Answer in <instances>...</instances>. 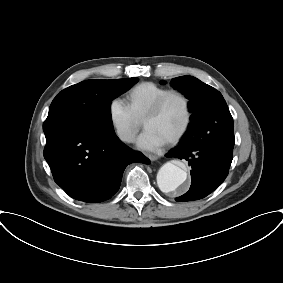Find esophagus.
<instances>
[{
  "mask_svg": "<svg viewBox=\"0 0 283 283\" xmlns=\"http://www.w3.org/2000/svg\"><path fill=\"white\" fill-rule=\"evenodd\" d=\"M148 158L151 160V161H155L158 159V156L156 155H148Z\"/></svg>",
  "mask_w": 283,
  "mask_h": 283,
  "instance_id": "34e87169",
  "label": "esophagus"
}]
</instances>
